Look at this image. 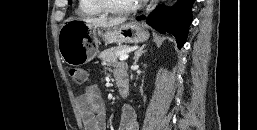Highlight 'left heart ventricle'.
<instances>
[{"instance_id": "left-heart-ventricle-1", "label": "left heart ventricle", "mask_w": 257, "mask_h": 130, "mask_svg": "<svg viewBox=\"0 0 257 130\" xmlns=\"http://www.w3.org/2000/svg\"><path fill=\"white\" fill-rule=\"evenodd\" d=\"M110 3H112L113 5L117 6V7H129L134 5L136 2H138L139 0H109Z\"/></svg>"}]
</instances>
